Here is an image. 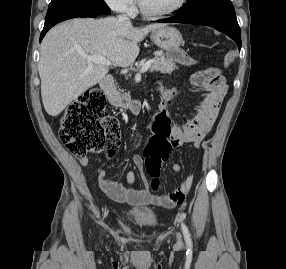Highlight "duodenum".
<instances>
[{
  "label": "duodenum",
  "instance_id": "obj_1",
  "mask_svg": "<svg viewBox=\"0 0 286 269\" xmlns=\"http://www.w3.org/2000/svg\"><path fill=\"white\" fill-rule=\"evenodd\" d=\"M100 86L106 95L108 103L112 107L129 109L133 113L140 111L141 104L139 102L130 101L117 93L114 80L111 76L105 75L100 82Z\"/></svg>",
  "mask_w": 286,
  "mask_h": 269
}]
</instances>
